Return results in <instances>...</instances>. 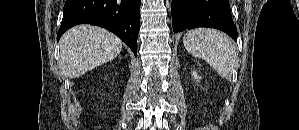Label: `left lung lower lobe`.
I'll list each match as a JSON object with an SVG mask.
<instances>
[{
	"label": "left lung lower lobe",
	"instance_id": "obj_1",
	"mask_svg": "<svg viewBox=\"0 0 299 130\" xmlns=\"http://www.w3.org/2000/svg\"><path fill=\"white\" fill-rule=\"evenodd\" d=\"M171 11L175 33L187 28L210 27L237 39L229 0H172Z\"/></svg>",
	"mask_w": 299,
	"mask_h": 130
}]
</instances>
